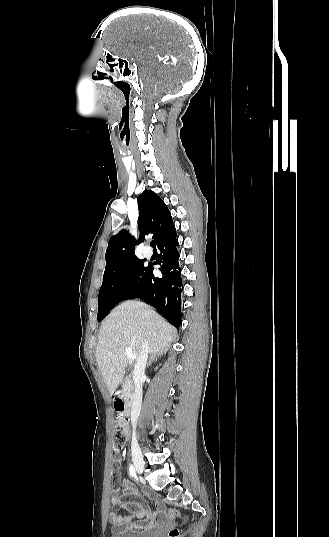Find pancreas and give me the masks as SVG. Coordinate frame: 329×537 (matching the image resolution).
Masks as SVG:
<instances>
[{
    "instance_id": "cf45deb5",
    "label": "pancreas",
    "mask_w": 329,
    "mask_h": 537,
    "mask_svg": "<svg viewBox=\"0 0 329 537\" xmlns=\"http://www.w3.org/2000/svg\"><path fill=\"white\" fill-rule=\"evenodd\" d=\"M122 392L125 393V394L128 393V388H127V384H126V383H124V384L122 385Z\"/></svg>"
}]
</instances>
